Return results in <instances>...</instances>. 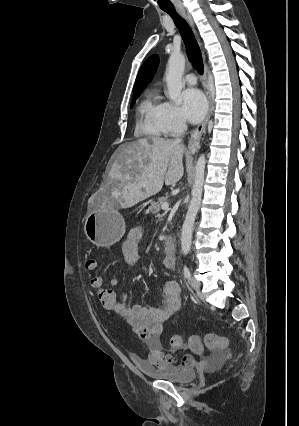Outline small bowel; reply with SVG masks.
I'll list each match as a JSON object with an SVG mask.
<instances>
[{"mask_svg":"<svg viewBox=\"0 0 299 426\" xmlns=\"http://www.w3.org/2000/svg\"><path fill=\"white\" fill-rule=\"evenodd\" d=\"M142 237V229L133 228L126 241L123 243V255L129 265H135L138 261V241ZM162 265L169 270L175 267V259L164 256ZM111 287L119 284L117 277H111L108 280ZM181 306V290L175 281H167L163 288L161 303L155 307H144L141 305L129 306L127 304L126 294H120V301L113 309L120 315L131 327L132 331L137 333L149 350V361L157 367L170 366L175 359L163 350L161 335L163 333L164 323ZM196 362L194 356L183 354L180 364L182 366H192Z\"/></svg>","mask_w":299,"mask_h":426,"instance_id":"1","label":"small bowel"}]
</instances>
